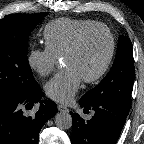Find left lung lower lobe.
<instances>
[{"instance_id":"1","label":"left lung lower lobe","mask_w":144,"mask_h":144,"mask_svg":"<svg viewBox=\"0 0 144 144\" xmlns=\"http://www.w3.org/2000/svg\"><path fill=\"white\" fill-rule=\"evenodd\" d=\"M81 107L95 111L91 120H83L77 113L72 115V144H116L125 124L130 107L112 100H102Z\"/></svg>"}]
</instances>
